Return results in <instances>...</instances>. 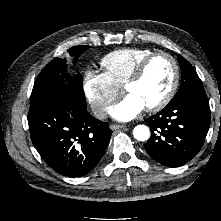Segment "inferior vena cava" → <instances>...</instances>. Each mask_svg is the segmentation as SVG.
Here are the masks:
<instances>
[{
  "label": "inferior vena cava",
  "instance_id": "1",
  "mask_svg": "<svg viewBox=\"0 0 221 221\" xmlns=\"http://www.w3.org/2000/svg\"><path fill=\"white\" fill-rule=\"evenodd\" d=\"M92 111L96 118L103 119L106 116V107L103 104H95L92 106Z\"/></svg>",
  "mask_w": 221,
  "mask_h": 221
}]
</instances>
